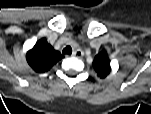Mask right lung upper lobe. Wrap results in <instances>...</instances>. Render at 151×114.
Wrapping results in <instances>:
<instances>
[{
	"instance_id": "cb5924a9",
	"label": "right lung upper lobe",
	"mask_w": 151,
	"mask_h": 114,
	"mask_svg": "<svg viewBox=\"0 0 151 114\" xmlns=\"http://www.w3.org/2000/svg\"><path fill=\"white\" fill-rule=\"evenodd\" d=\"M63 56L56 51L45 38L36 42L34 47L26 54L29 66L38 73H44L61 60Z\"/></svg>"
}]
</instances>
